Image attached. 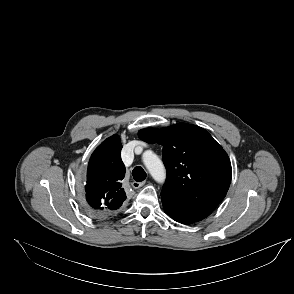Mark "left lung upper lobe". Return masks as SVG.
<instances>
[{"instance_id":"obj_1","label":"left lung upper lobe","mask_w":294,"mask_h":294,"mask_svg":"<svg viewBox=\"0 0 294 294\" xmlns=\"http://www.w3.org/2000/svg\"><path fill=\"white\" fill-rule=\"evenodd\" d=\"M140 139L163 146L167 180L161 191L164 208L193 221L206 218L229 189L230 159L203 128L179 123L138 132Z\"/></svg>"}]
</instances>
